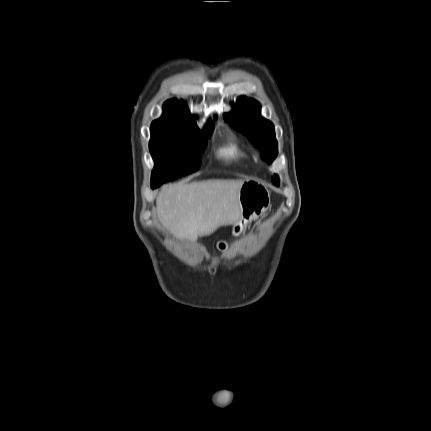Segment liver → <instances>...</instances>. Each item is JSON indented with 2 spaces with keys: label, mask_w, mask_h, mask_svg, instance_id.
Returning <instances> with one entry per match:
<instances>
[{
  "label": "liver",
  "mask_w": 431,
  "mask_h": 431,
  "mask_svg": "<svg viewBox=\"0 0 431 431\" xmlns=\"http://www.w3.org/2000/svg\"><path fill=\"white\" fill-rule=\"evenodd\" d=\"M244 180H207L169 185L157 196V213L176 237L192 242L217 228L235 225L241 216L239 192Z\"/></svg>",
  "instance_id": "1"
}]
</instances>
